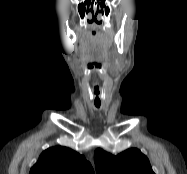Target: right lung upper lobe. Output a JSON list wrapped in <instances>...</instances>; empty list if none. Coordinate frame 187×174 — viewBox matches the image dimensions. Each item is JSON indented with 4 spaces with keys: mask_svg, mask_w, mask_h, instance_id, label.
<instances>
[{
    "mask_svg": "<svg viewBox=\"0 0 187 174\" xmlns=\"http://www.w3.org/2000/svg\"><path fill=\"white\" fill-rule=\"evenodd\" d=\"M30 174H94L91 164L72 149L56 146L45 150Z\"/></svg>",
    "mask_w": 187,
    "mask_h": 174,
    "instance_id": "cb5924a9",
    "label": "right lung upper lobe"
}]
</instances>
